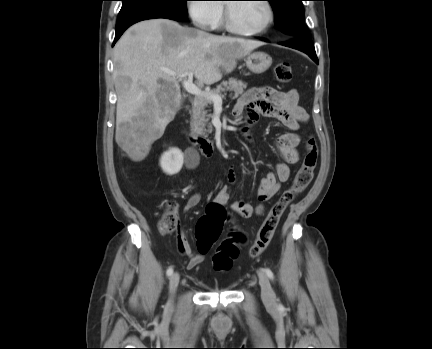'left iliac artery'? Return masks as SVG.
<instances>
[{
	"mask_svg": "<svg viewBox=\"0 0 432 349\" xmlns=\"http://www.w3.org/2000/svg\"><path fill=\"white\" fill-rule=\"evenodd\" d=\"M265 272H266L267 276H268L271 280L274 279V274H273V272H272L269 268H266V269H265ZM279 307H282V305L280 304Z\"/></svg>",
	"mask_w": 432,
	"mask_h": 349,
	"instance_id": "left-iliac-artery-1",
	"label": "left iliac artery"
}]
</instances>
